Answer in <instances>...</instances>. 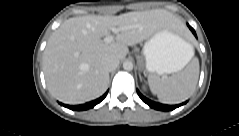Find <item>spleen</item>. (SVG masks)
I'll return each instance as SVG.
<instances>
[{"label":"spleen","instance_id":"1","mask_svg":"<svg viewBox=\"0 0 239 136\" xmlns=\"http://www.w3.org/2000/svg\"><path fill=\"white\" fill-rule=\"evenodd\" d=\"M189 60L194 55L193 47L189 52ZM187 62V63H188ZM199 78V62L193 59L184 70L169 76L160 78L156 74L148 76L151 92L166 104H177L187 99L195 90Z\"/></svg>","mask_w":239,"mask_h":136}]
</instances>
